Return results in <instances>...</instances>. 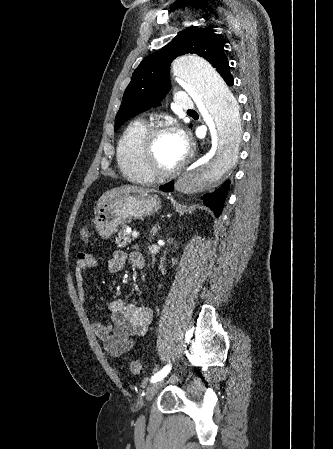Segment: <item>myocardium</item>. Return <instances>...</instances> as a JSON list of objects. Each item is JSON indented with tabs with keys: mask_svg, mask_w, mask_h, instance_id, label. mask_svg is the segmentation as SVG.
<instances>
[{
	"mask_svg": "<svg viewBox=\"0 0 333 449\" xmlns=\"http://www.w3.org/2000/svg\"><path fill=\"white\" fill-rule=\"evenodd\" d=\"M164 132H174V129L164 122H155L147 127L140 143L141 164L144 171L152 180L173 178L188 161V155H186L178 165L170 170H162L156 165L154 152L155 142L157 137Z\"/></svg>",
	"mask_w": 333,
	"mask_h": 449,
	"instance_id": "f54148a6",
	"label": "myocardium"
}]
</instances>
